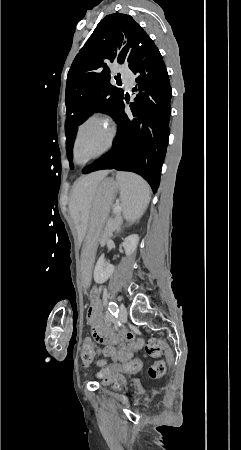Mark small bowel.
I'll list each match as a JSON object with an SVG mask.
<instances>
[{
  "mask_svg": "<svg viewBox=\"0 0 241 450\" xmlns=\"http://www.w3.org/2000/svg\"><path fill=\"white\" fill-rule=\"evenodd\" d=\"M88 305L87 315L89 316L88 323L91 328V336H100L102 341H95L103 345L102 348H99L94 343V356L106 355L119 364L131 361L136 353L142 349L144 340L137 337L132 331L113 332L104 330V327H99L103 323L102 316H98L101 308L99 298H89ZM124 372V368L119 365H109L108 369H101L96 377L105 385L120 390L126 385Z\"/></svg>",
  "mask_w": 241,
  "mask_h": 450,
  "instance_id": "small-bowel-1",
  "label": "small bowel"
}]
</instances>
